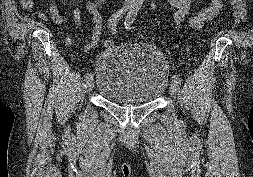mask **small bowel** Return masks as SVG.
Returning <instances> with one entry per match:
<instances>
[{
  "label": "small bowel",
  "mask_w": 253,
  "mask_h": 177,
  "mask_svg": "<svg viewBox=\"0 0 253 177\" xmlns=\"http://www.w3.org/2000/svg\"><path fill=\"white\" fill-rule=\"evenodd\" d=\"M63 3L66 0H61ZM105 0H85V8L92 15L93 30L92 43L86 46V50L90 49L95 42L98 41L102 30V15L100 8ZM197 0H167V2L176 9L173 20L177 28H180L183 23L188 21V28L192 31L200 30L204 23L212 20L222 8V0H208L205 7L191 12ZM35 0H20L24 10L30 11L33 8ZM40 18L43 20L51 19L56 24H64L67 18L60 13L56 3L50 2L47 13H41ZM72 19L77 26L81 25L82 17L79 8L76 5L72 6ZM68 42L73 41V37H67Z\"/></svg>",
  "instance_id": "small-bowel-1"
}]
</instances>
